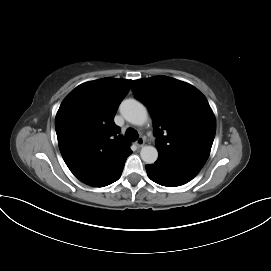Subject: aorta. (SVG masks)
<instances>
[{
  "label": "aorta",
  "instance_id": "762f6f07",
  "mask_svg": "<svg viewBox=\"0 0 271 271\" xmlns=\"http://www.w3.org/2000/svg\"><path fill=\"white\" fill-rule=\"evenodd\" d=\"M122 116L131 124L141 126L147 122L148 113L145 106L134 99H127L120 105ZM142 160L153 164L158 158V151L154 146H144L140 152Z\"/></svg>",
  "mask_w": 271,
  "mask_h": 271
}]
</instances>
